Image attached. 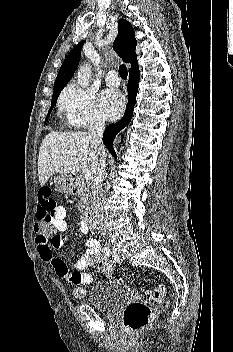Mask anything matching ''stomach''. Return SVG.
Wrapping results in <instances>:
<instances>
[{
    "label": "stomach",
    "instance_id": "1",
    "mask_svg": "<svg viewBox=\"0 0 233 352\" xmlns=\"http://www.w3.org/2000/svg\"><path fill=\"white\" fill-rule=\"evenodd\" d=\"M58 188L64 193L73 192V177L71 175L60 174L56 178Z\"/></svg>",
    "mask_w": 233,
    "mask_h": 352
}]
</instances>
